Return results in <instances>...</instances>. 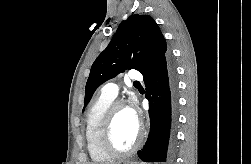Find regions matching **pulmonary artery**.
Listing matches in <instances>:
<instances>
[{
  "instance_id": "pulmonary-artery-1",
  "label": "pulmonary artery",
  "mask_w": 251,
  "mask_h": 164,
  "mask_svg": "<svg viewBox=\"0 0 251 164\" xmlns=\"http://www.w3.org/2000/svg\"><path fill=\"white\" fill-rule=\"evenodd\" d=\"M129 78L134 81H139L142 79V75L140 72H138L136 70H132L129 72ZM102 94L109 96L111 98H115L118 94V85L113 82L107 83L102 88Z\"/></svg>"
}]
</instances>
